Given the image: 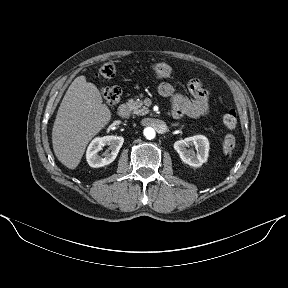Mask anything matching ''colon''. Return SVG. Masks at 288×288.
<instances>
[{"instance_id":"5ec220e1","label":"colon","mask_w":288,"mask_h":288,"mask_svg":"<svg viewBox=\"0 0 288 288\" xmlns=\"http://www.w3.org/2000/svg\"><path fill=\"white\" fill-rule=\"evenodd\" d=\"M152 71L157 78H168L172 73V68L169 64L159 62L152 65ZM116 74V66L113 63H105L98 70L100 78L108 79L114 77ZM104 100L109 105H116L121 98V89L118 86H105L101 89ZM237 114L234 110L227 111L223 116V124L229 129L233 130L237 126ZM235 148V138L232 134L224 137L222 143L223 153L227 156L231 155Z\"/></svg>"}]
</instances>
